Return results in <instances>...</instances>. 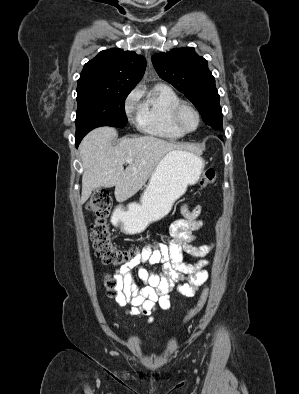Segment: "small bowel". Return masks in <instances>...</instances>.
I'll return each mask as SVG.
<instances>
[{
	"label": "small bowel",
	"instance_id": "c3829d8e",
	"mask_svg": "<svg viewBox=\"0 0 299 394\" xmlns=\"http://www.w3.org/2000/svg\"><path fill=\"white\" fill-rule=\"evenodd\" d=\"M202 207L197 205L189 209L187 205L181 207L182 219L175 220L169 227L172 242L169 246L161 245L153 248L146 245L129 263L121 266L115 273L117 281L115 302L121 307L130 305L127 314L146 316L151 322V314L158 304L168 310L171 303L168 293L175 287L180 294L192 297L196 289L208 279V273L203 268L208 265L205 256L212 249V245H193L198 239L197 231L203 227V221L198 219ZM188 254L199 258L197 263H186L183 255ZM150 265L162 264L159 272H152L142 263ZM145 286L139 287L136 280ZM182 282V283H180Z\"/></svg>",
	"mask_w": 299,
	"mask_h": 394
}]
</instances>
